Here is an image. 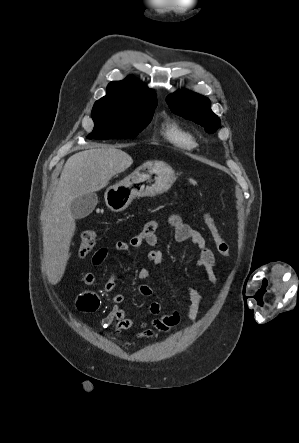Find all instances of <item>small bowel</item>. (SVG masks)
I'll use <instances>...</instances> for the list:
<instances>
[{"mask_svg":"<svg viewBox=\"0 0 299 443\" xmlns=\"http://www.w3.org/2000/svg\"><path fill=\"white\" fill-rule=\"evenodd\" d=\"M168 222L174 229V237L176 241H191L197 247L199 250L197 266L204 272L205 280L210 285L214 286L216 284V276L214 272L215 257L213 252L207 246L205 238L199 231L186 224L181 216L177 214L171 215ZM158 227L159 224L157 221L147 222L143 229L128 242H116L115 249L119 252L129 254L131 248H140L144 245L150 247L155 246L158 240ZM107 253V249L105 248L99 249L95 252L92 257L93 264H102ZM147 257L149 262L156 265H160L164 262V256L160 250H151ZM136 277L139 280H146L150 277V272L146 268H140L136 271ZM116 279V274L112 271L108 280L104 284V291L110 294L114 305L109 313L103 318L102 324L106 327H112L117 334H120L122 331L135 327L136 324L120 307V304L125 300V296L116 291ZM83 283L90 287H96L99 285L98 279L92 273H86L84 275ZM138 291L145 297H149L153 293L148 284L139 285ZM201 299L202 295L200 289H189L188 318L192 323L198 318ZM99 305V297L94 291H85L81 293L77 300L78 309L84 312H95L98 310ZM149 313L152 317L146 319L139 325V331L135 335L137 340L151 338L154 336L155 331L169 333L180 321V314L176 310L168 314H161V305L158 302H152L149 305Z\"/></svg>","mask_w":299,"mask_h":443,"instance_id":"c3829d8e","label":"small bowel"}]
</instances>
